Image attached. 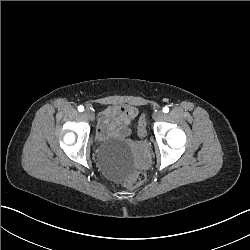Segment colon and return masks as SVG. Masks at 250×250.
Wrapping results in <instances>:
<instances>
[{"instance_id": "colon-1", "label": "colon", "mask_w": 250, "mask_h": 250, "mask_svg": "<svg viewBox=\"0 0 250 250\" xmlns=\"http://www.w3.org/2000/svg\"><path fill=\"white\" fill-rule=\"evenodd\" d=\"M144 120H145V116L142 115L140 118V126L143 128L145 127ZM141 130H143V129H141ZM144 135H145L144 132L139 133V136L141 138H143ZM147 180H148L147 173L143 170H138V171L134 172L132 176L124 177L121 181V186L124 190L131 191L135 188L136 184L143 185L147 182Z\"/></svg>"}]
</instances>
